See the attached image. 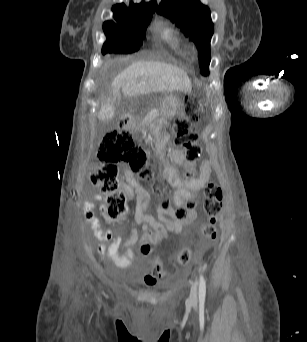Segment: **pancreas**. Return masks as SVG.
<instances>
[{
  "instance_id": "pancreas-1",
  "label": "pancreas",
  "mask_w": 307,
  "mask_h": 342,
  "mask_svg": "<svg viewBox=\"0 0 307 342\" xmlns=\"http://www.w3.org/2000/svg\"><path fill=\"white\" fill-rule=\"evenodd\" d=\"M152 111L155 113L157 110L154 108ZM150 116L153 118L155 115L152 113ZM146 118H148V116H146ZM144 124H146V120H143L142 126H144Z\"/></svg>"
}]
</instances>
